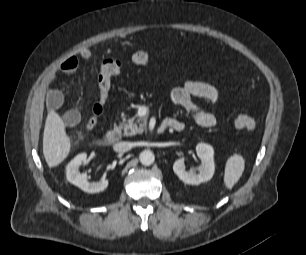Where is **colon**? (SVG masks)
<instances>
[{
  "instance_id": "colon-1",
  "label": "colon",
  "mask_w": 306,
  "mask_h": 255,
  "mask_svg": "<svg viewBox=\"0 0 306 255\" xmlns=\"http://www.w3.org/2000/svg\"><path fill=\"white\" fill-rule=\"evenodd\" d=\"M149 61V54L145 50H137L131 57V63L134 65H145ZM124 68V63L115 58L104 59L99 67L97 74V85L100 92L99 100L93 105L91 117L87 123L86 129L92 130L97 123L98 117L103 112V108L109 98L111 90L112 77L120 74ZM232 123L237 129L253 132L256 130L255 121L247 115H235L232 117Z\"/></svg>"
}]
</instances>
